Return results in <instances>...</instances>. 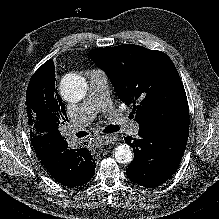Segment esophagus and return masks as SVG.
Masks as SVG:
<instances>
[{"mask_svg": "<svg viewBox=\"0 0 219 219\" xmlns=\"http://www.w3.org/2000/svg\"><path fill=\"white\" fill-rule=\"evenodd\" d=\"M98 139L101 145H108L116 141V136L115 135H102V136H99Z\"/></svg>", "mask_w": 219, "mask_h": 219, "instance_id": "obj_1", "label": "esophagus"}]
</instances>
